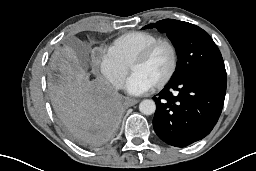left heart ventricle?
Returning a JSON list of instances; mask_svg holds the SVG:
<instances>
[{
    "label": "left heart ventricle",
    "instance_id": "1",
    "mask_svg": "<svg viewBox=\"0 0 256 171\" xmlns=\"http://www.w3.org/2000/svg\"><path fill=\"white\" fill-rule=\"evenodd\" d=\"M171 61L170 49L166 45H161L145 62L134 65L131 71L140 74L152 85H155L168 73Z\"/></svg>",
    "mask_w": 256,
    "mask_h": 171
}]
</instances>
